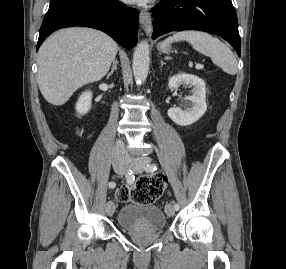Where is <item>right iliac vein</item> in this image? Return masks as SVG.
Segmentation results:
<instances>
[{
	"label": "right iliac vein",
	"mask_w": 286,
	"mask_h": 269,
	"mask_svg": "<svg viewBox=\"0 0 286 269\" xmlns=\"http://www.w3.org/2000/svg\"><path fill=\"white\" fill-rule=\"evenodd\" d=\"M126 171V167L125 166H121V167H118L116 172L119 174V175H123ZM106 213L108 216H112L115 212V205L112 201H109L107 202L106 204Z\"/></svg>",
	"instance_id": "1"
}]
</instances>
